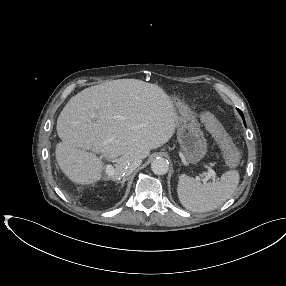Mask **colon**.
<instances>
[{
	"label": "colon",
	"instance_id": "obj_1",
	"mask_svg": "<svg viewBox=\"0 0 286 286\" xmlns=\"http://www.w3.org/2000/svg\"><path fill=\"white\" fill-rule=\"evenodd\" d=\"M201 118L206 129L221 146L227 165L229 167H235L239 161L238 151L224 127L217 118L209 112L203 113Z\"/></svg>",
	"mask_w": 286,
	"mask_h": 286
}]
</instances>
